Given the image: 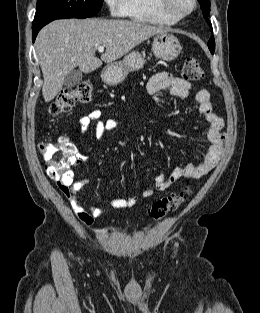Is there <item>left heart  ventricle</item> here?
Returning a JSON list of instances; mask_svg holds the SVG:
<instances>
[{"mask_svg": "<svg viewBox=\"0 0 260 313\" xmlns=\"http://www.w3.org/2000/svg\"><path fill=\"white\" fill-rule=\"evenodd\" d=\"M172 9L177 13L188 10L191 6L190 0H170Z\"/></svg>", "mask_w": 260, "mask_h": 313, "instance_id": "1", "label": "left heart ventricle"}]
</instances>
